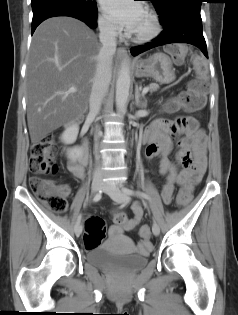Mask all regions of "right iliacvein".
Wrapping results in <instances>:
<instances>
[{
	"label": "right iliac vein",
	"instance_id": "1",
	"mask_svg": "<svg viewBox=\"0 0 238 315\" xmlns=\"http://www.w3.org/2000/svg\"><path fill=\"white\" fill-rule=\"evenodd\" d=\"M102 187H103V182L101 179H94L92 181L91 189L93 192H98L100 189H102ZM82 229H83L82 224L77 223L74 228L75 234L80 235L82 233Z\"/></svg>",
	"mask_w": 238,
	"mask_h": 315
}]
</instances>
